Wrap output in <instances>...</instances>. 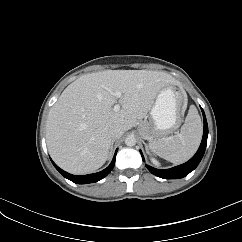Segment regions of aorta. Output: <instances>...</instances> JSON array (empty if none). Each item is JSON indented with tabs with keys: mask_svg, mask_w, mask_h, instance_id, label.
<instances>
[{
	"mask_svg": "<svg viewBox=\"0 0 242 242\" xmlns=\"http://www.w3.org/2000/svg\"><path fill=\"white\" fill-rule=\"evenodd\" d=\"M125 144L130 147L134 146L136 144V138L134 136H128L125 139Z\"/></svg>",
	"mask_w": 242,
	"mask_h": 242,
	"instance_id": "1",
	"label": "aorta"
}]
</instances>
